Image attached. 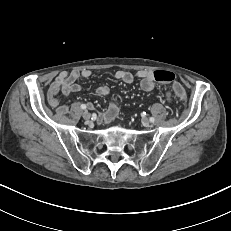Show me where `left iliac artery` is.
I'll use <instances>...</instances> for the list:
<instances>
[{
	"label": "left iliac artery",
	"mask_w": 231,
	"mask_h": 231,
	"mask_svg": "<svg viewBox=\"0 0 231 231\" xmlns=\"http://www.w3.org/2000/svg\"><path fill=\"white\" fill-rule=\"evenodd\" d=\"M150 122H154L155 121V119H154V117H150Z\"/></svg>",
	"instance_id": "44dca946"
}]
</instances>
